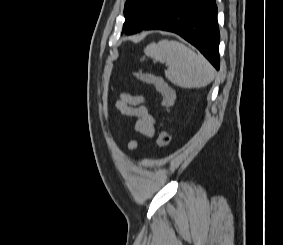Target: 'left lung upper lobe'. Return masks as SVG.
I'll return each instance as SVG.
<instances>
[{
	"mask_svg": "<svg viewBox=\"0 0 283 245\" xmlns=\"http://www.w3.org/2000/svg\"><path fill=\"white\" fill-rule=\"evenodd\" d=\"M173 0H127L123 32L134 34L152 23Z\"/></svg>",
	"mask_w": 283,
	"mask_h": 245,
	"instance_id": "obj_1",
	"label": "left lung upper lobe"
}]
</instances>
